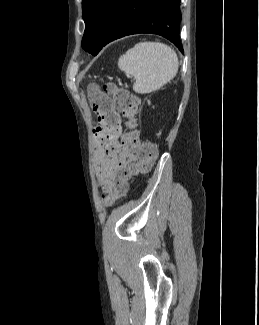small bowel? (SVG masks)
<instances>
[{"mask_svg":"<svg viewBox=\"0 0 259 325\" xmlns=\"http://www.w3.org/2000/svg\"><path fill=\"white\" fill-rule=\"evenodd\" d=\"M118 123L117 129L102 130L96 136L97 160L96 174L99 186L103 192L112 190L115 175L129 167L135 166L139 159L131 146L122 136V125L119 114L114 110Z\"/></svg>","mask_w":259,"mask_h":325,"instance_id":"c3829d8e","label":"small bowel"}]
</instances>
